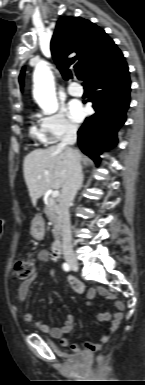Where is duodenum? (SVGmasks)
I'll return each mask as SVG.
<instances>
[{
    "instance_id": "duodenum-1",
    "label": "duodenum",
    "mask_w": 145,
    "mask_h": 385,
    "mask_svg": "<svg viewBox=\"0 0 145 385\" xmlns=\"http://www.w3.org/2000/svg\"><path fill=\"white\" fill-rule=\"evenodd\" d=\"M62 253V244L59 240L55 241L52 246V255L58 258Z\"/></svg>"
}]
</instances>
